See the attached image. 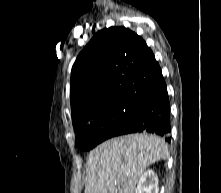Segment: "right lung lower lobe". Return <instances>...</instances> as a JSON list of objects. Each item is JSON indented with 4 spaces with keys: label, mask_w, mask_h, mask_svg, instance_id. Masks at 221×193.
<instances>
[{
    "label": "right lung lower lobe",
    "mask_w": 221,
    "mask_h": 193,
    "mask_svg": "<svg viewBox=\"0 0 221 193\" xmlns=\"http://www.w3.org/2000/svg\"><path fill=\"white\" fill-rule=\"evenodd\" d=\"M170 131V103L166 83L161 73L144 99L143 110L130 124L120 128L114 136L149 132L160 135L170 142Z\"/></svg>",
    "instance_id": "right-lung-lower-lobe-1"
}]
</instances>
